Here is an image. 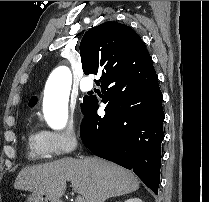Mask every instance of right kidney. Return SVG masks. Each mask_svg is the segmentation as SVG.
<instances>
[{"mask_svg":"<svg viewBox=\"0 0 209 202\" xmlns=\"http://www.w3.org/2000/svg\"><path fill=\"white\" fill-rule=\"evenodd\" d=\"M125 202H143V201L139 198H130V199L126 200Z\"/></svg>","mask_w":209,"mask_h":202,"instance_id":"right-kidney-1","label":"right kidney"}]
</instances>
